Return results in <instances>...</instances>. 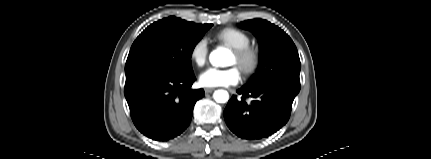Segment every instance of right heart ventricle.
I'll use <instances>...</instances> for the list:
<instances>
[{
    "label": "right heart ventricle",
    "instance_id": "e07e8e85",
    "mask_svg": "<svg viewBox=\"0 0 431 159\" xmlns=\"http://www.w3.org/2000/svg\"><path fill=\"white\" fill-rule=\"evenodd\" d=\"M215 38L231 49H238L250 45L249 35L237 28H224L215 34Z\"/></svg>",
    "mask_w": 431,
    "mask_h": 159
}]
</instances>
